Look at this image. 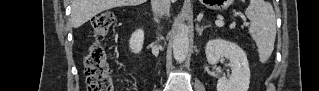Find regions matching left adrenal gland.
Here are the masks:
<instances>
[{
    "label": "left adrenal gland",
    "instance_id": "1",
    "mask_svg": "<svg viewBox=\"0 0 319 91\" xmlns=\"http://www.w3.org/2000/svg\"><path fill=\"white\" fill-rule=\"evenodd\" d=\"M208 27H210V25H206V26H200V25H198L197 28H196V30H197L199 36H201V35H202V32H203L206 28H208Z\"/></svg>",
    "mask_w": 319,
    "mask_h": 91
}]
</instances>
